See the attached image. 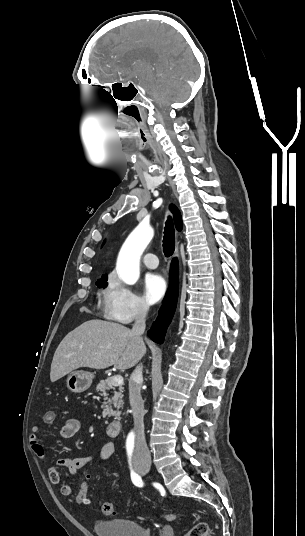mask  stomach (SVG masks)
Returning a JSON list of instances; mask_svg holds the SVG:
<instances>
[{
	"label": "stomach",
	"mask_w": 305,
	"mask_h": 536,
	"mask_svg": "<svg viewBox=\"0 0 305 536\" xmlns=\"http://www.w3.org/2000/svg\"><path fill=\"white\" fill-rule=\"evenodd\" d=\"M92 380L93 374L80 370V372H72V374H69L66 384L68 390L75 392V394H80V392H85V390L90 388Z\"/></svg>",
	"instance_id": "0dacf381"
}]
</instances>
